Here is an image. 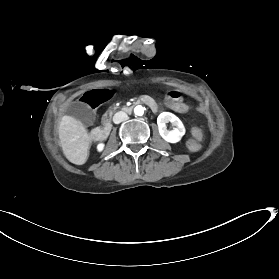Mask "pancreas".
I'll use <instances>...</instances> for the list:
<instances>
[{"instance_id":"cf45deb5","label":"pancreas","mask_w":279,"mask_h":279,"mask_svg":"<svg viewBox=\"0 0 279 279\" xmlns=\"http://www.w3.org/2000/svg\"><path fill=\"white\" fill-rule=\"evenodd\" d=\"M117 109V107H112L108 110L109 114H112L115 110Z\"/></svg>"}]
</instances>
